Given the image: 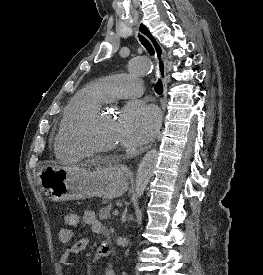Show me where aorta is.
Returning a JSON list of instances; mask_svg holds the SVG:
<instances>
[{
    "label": "aorta",
    "instance_id": "762f6f07",
    "mask_svg": "<svg viewBox=\"0 0 263 275\" xmlns=\"http://www.w3.org/2000/svg\"><path fill=\"white\" fill-rule=\"evenodd\" d=\"M128 67L132 73L139 75L150 73L153 70L152 63L148 59L144 58L132 59L129 62ZM158 155V151L156 149H152L149 150L142 158L136 173L134 194L135 200L143 195L156 168Z\"/></svg>",
    "mask_w": 263,
    "mask_h": 275
}]
</instances>
